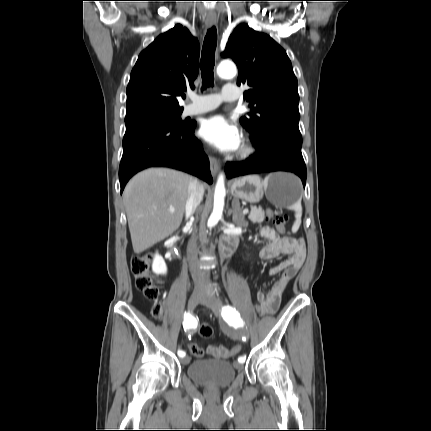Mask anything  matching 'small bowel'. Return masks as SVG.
Masks as SVG:
<instances>
[{
  "instance_id": "small-bowel-1",
  "label": "small bowel",
  "mask_w": 431,
  "mask_h": 431,
  "mask_svg": "<svg viewBox=\"0 0 431 431\" xmlns=\"http://www.w3.org/2000/svg\"><path fill=\"white\" fill-rule=\"evenodd\" d=\"M261 237L268 243L261 251L265 260H272L280 255L288 258L282 263L273 266L270 274H279V279L268 291L256 293V300L261 306L262 314L273 313L280 304L281 297L288 283L295 277L305 259V246L301 239L278 235L272 228L265 226L260 230ZM202 348V347H201ZM204 355L214 358H228L230 349L222 345H209L203 348Z\"/></svg>"
}]
</instances>
